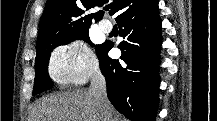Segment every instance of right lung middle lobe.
I'll use <instances>...</instances> for the list:
<instances>
[{
    "label": "right lung middle lobe",
    "mask_w": 217,
    "mask_h": 121,
    "mask_svg": "<svg viewBox=\"0 0 217 121\" xmlns=\"http://www.w3.org/2000/svg\"><path fill=\"white\" fill-rule=\"evenodd\" d=\"M88 30L89 28H86L75 33H72L62 39L44 42L37 45V54L35 59L36 73L33 94L41 93L46 89H51L53 86V83L48 75V62L52 50L57 46L68 44L77 39H83L89 42ZM102 46L103 44L95 46L97 55H99Z\"/></svg>",
    "instance_id": "dd1d6c3e"
}]
</instances>
